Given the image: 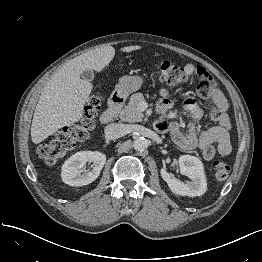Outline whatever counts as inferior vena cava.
Here are the masks:
<instances>
[{"instance_id":"602c4592","label":"inferior vena cava","mask_w":262,"mask_h":262,"mask_svg":"<svg viewBox=\"0 0 262 262\" xmlns=\"http://www.w3.org/2000/svg\"><path fill=\"white\" fill-rule=\"evenodd\" d=\"M104 132L107 138L116 139L124 136L127 133V130L123 124L112 123L105 127Z\"/></svg>"}]
</instances>
